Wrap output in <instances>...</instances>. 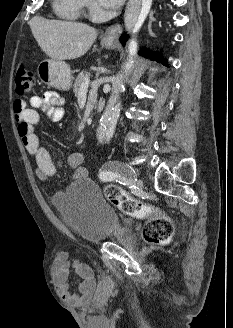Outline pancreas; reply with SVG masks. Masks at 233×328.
Segmentation results:
<instances>
[{
	"label": "pancreas",
	"instance_id": "cf45deb5",
	"mask_svg": "<svg viewBox=\"0 0 233 328\" xmlns=\"http://www.w3.org/2000/svg\"><path fill=\"white\" fill-rule=\"evenodd\" d=\"M88 76H89V73L85 72V71L81 72L77 76L74 86H73V92H74L75 96H78L81 84L84 81V79L87 78Z\"/></svg>",
	"mask_w": 233,
	"mask_h": 328
}]
</instances>
